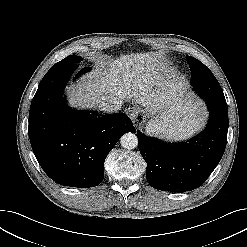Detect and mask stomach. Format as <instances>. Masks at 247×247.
Returning <instances> with one entry per match:
<instances>
[{"instance_id": "0dacf381", "label": "stomach", "mask_w": 247, "mask_h": 247, "mask_svg": "<svg viewBox=\"0 0 247 247\" xmlns=\"http://www.w3.org/2000/svg\"><path fill=\"white\" fill-rule=\"evenodd\" d=\"M178 98L180 101L167 106L150 120L147 127L149 133L181 137L191 133L203 122L204 114L200 109L194 115L183 110L185 104L195 105L191 99L183 101V92L179 94ZM193 120L199 121V125L192 124Z\"/></svg>"}]
</instances>
